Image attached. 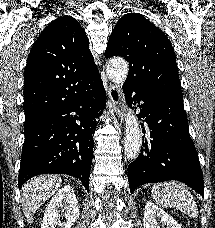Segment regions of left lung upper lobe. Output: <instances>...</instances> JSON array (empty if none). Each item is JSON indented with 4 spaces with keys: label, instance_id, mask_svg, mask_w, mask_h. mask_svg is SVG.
<instances>
[{
    "label": "left lung upper lobe",
    "instance_id": "1",
    "mask_svg": "<svg viewBox=\"0 0 215 228\" xmlns=\"http://www.w3.org/2000/svg\"><path fill=\"white\" fill-rule=\"evenodd\" d=\"M122 56L129 62L124 85L145 92L183 96L175 53L167 36L136 13L121 17L114 27L105 57Z\"/></svg>",
    "mask_w": 215,
    "mask_h": 228
}]
</instances>
